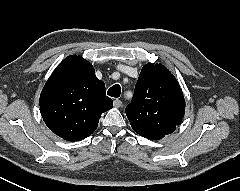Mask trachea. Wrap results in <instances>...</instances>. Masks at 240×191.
Listing matches in <instances>:
<instances>
[{"label":"trachea","instance_id":"3493384b","mask_svg":"<svg viewBox=\"0 0 240 191\" xmlns=\"http://www.w3.org/2000/svg\"><path fill=\"white\" fill-rule=\"evenodd\" d=\"M111 97L118 98L121 94V88L118 84L113 85L107 92Z\"/></svg>","mask_w":240,"mask_h":191}]
</instances>
